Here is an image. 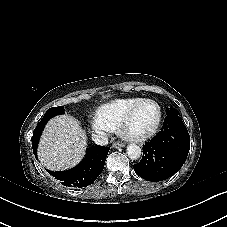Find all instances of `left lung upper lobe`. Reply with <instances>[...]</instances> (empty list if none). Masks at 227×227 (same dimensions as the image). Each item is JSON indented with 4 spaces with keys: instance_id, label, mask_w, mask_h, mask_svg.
I'll use <instances>...</instances> for the list:
<instances>
[{
    "instance_id": "obj_1",
    "label": "left lung upper lobe",
    "mask_w": 227,
    "mask_h": 227,
    "mask_svg": "<svg viewBox=\"0 0 227 227\" xmlns=\"http://www.w3.org/2000/svg\"><path fill=\"white\" fill-rule=\"evenodd\" d=\"M178 114H179V112L176 109H172V108H170V109L167 108L166 109V115L178 116Z\"/></svg>"
}]
</instances>
